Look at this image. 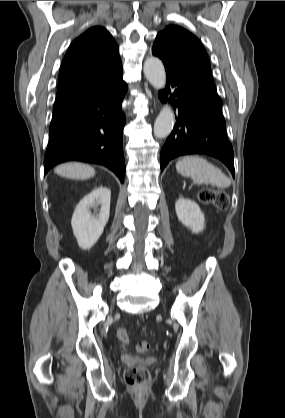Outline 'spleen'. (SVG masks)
<instances>
[{
    "mask_svg": "<svg viewBox=\"0 0 285 418\" xmlns=\"http://www.w3.org/2000/svg\"><path fill=\"white\" fill-rule=\"evenodd\" d=\"M177 171L195 182L216 185L219 188L230 186V179L216 166L199 156H185L176 163Z\"/></svg>",
    "mask_w": 285,
    "mask_h": 418,
    "instance_id": "1",
    "label": "spleen"
}]
</instances>
